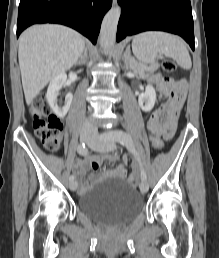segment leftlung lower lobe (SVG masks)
<instances>
[{
	"label": "left lung lower lobe",
	"mask_w": 219,
	"mask_h": 258,
	"mask_svg": "<svg viewBox=\"0 0 219 258\" xmlns=\"http://www.w3.org/2000/svg\"><path fill=\"white\" fill-rule=\"evenodd\" d=\"M118 3L122 12L117 42L143 31L160 30L180 35L194 50L190 0H118Z\"/></svg>",
	"instance_id": "left-lung-lower-lobe-1"
}]
</instances>
